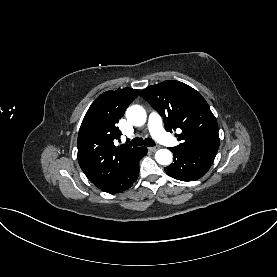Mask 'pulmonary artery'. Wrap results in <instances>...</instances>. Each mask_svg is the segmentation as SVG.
<instances>
[{
    "label": "pulmonary artery",
    "mask_w": 277,
    "mask_h": 277,
    "mask_svg": "<svg viewBox=\"0 0 277 277\" xmlns=\"http://www.w3.org/2000/svg\"><path fill=\"white\" fill-rule=\"evenodd\" d=\"M148 129L151 135L159 142L168 146H174L177 144V140L164 131L158 114L151 113L149 115Z\"/></svg>",
    "instance_id": "pulmonary-artery-1"
}]
</instances>
